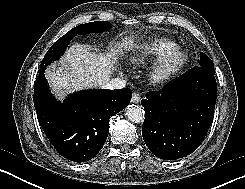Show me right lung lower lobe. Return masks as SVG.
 Segmentation results:
<instances>
[{"mask_svg": "<svg viewBox=\"0 0 245 189\" xmlns=\"http://www.w3.org/2000/svg\"><path fill=\"white\" fill-rule=\"evenodd\" d=\"M44 72L39 71L34 83V106L40 126L64 158L74 162L92 159L108 137L110 118L130 103L132 91L85 90L61 103L50 93Z\"/></svg>", "mask_w": 245, "mask_h": 189, "instance_id": "right-lung-lower-lobe-1", "label": "right lung lower lobe"}]
</instances>
